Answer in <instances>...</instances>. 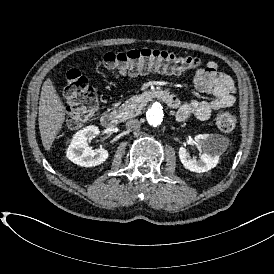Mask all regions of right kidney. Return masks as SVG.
<instances>
[{
  "instance_id": "obj_1",
  "label": "right kidney",
  "mask_w": 274,
  "mask_h": 274,
  "mask_svg": "<svg viewBox=\"0 0 274 274\" xmlns=\"http://www.w3.org/2000/svg\"><path fill=\"white\" fill-rule=\"evenodd\" d=\"M100 133L97 126H87L75 133L66 151L67 158L80 167H94L101 165L109 158V152L105 149H92L88 147V141Z\"/></svg>"
}]
</instances>
